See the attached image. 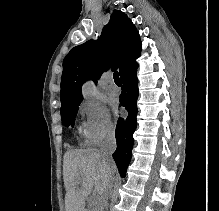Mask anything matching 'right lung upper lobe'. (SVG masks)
<instances>
[{
  "label": "right lung upper lobe",
  "instance_id": "1",
  "mask_svg": "<svg viewBox=\"0 0 219 211\" xmlns=\"http://www.w3.org/2000/svg\"><path fill=\"white\" fill-rule=\"evenodd\" d=\"M139 33L126 14L114 10L97 41L89 40L74 47L63 60L61 105L83 100L82 84L91 79L95 83L102 72L119 68L120 76L136 65L140 56Z\"/></svg>",
  "mask_w": 219,
  "mask_h": 211
}]
</instances>
